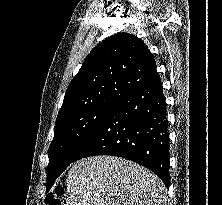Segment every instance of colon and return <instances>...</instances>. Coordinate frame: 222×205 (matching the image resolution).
I'll use <instances>...</instances> for the list:
<instances>
[{
    "instance_id": "5ec220e1",
    "label": "colon",
    "mask_w": 222,
    "mask_h": 205,
    "mask_svg": "<svg viewBox=\"0 0 222 205\" xmlns=\"http://www.w3.org/2000/svg\"><path fill=\"white\" fill-rule=\"evenodd\" d=\"M64 189L57 187L52 193H49L46 197L47 205H63Z\"/></svg>"
}]
</instances>
